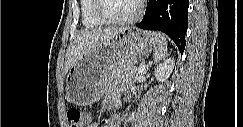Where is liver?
Instances as JSON below:
<instances>
[{"instance_id":"6515ba94","label":"liver","mask_w":243,"mask_h":127,"mask_svg":"<svg viewBox=\"0 0 243 127\" xmlns=\"http://www.w3.org/2000/svg\"><path fill=\"white\" fill-rule=\"evenodd\" d=\"M126 29L127 28L121 27L80 31L75 36L73 43L69 46L67 50L64 74H66L70 67L78 60H80L83 56L100 48L111 38Z\"/></svg>"}]
</instances>
